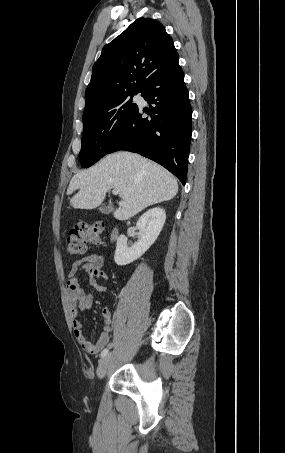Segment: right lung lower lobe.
<instances>
[{
	"label": "right lung lower lobe",
	"instance_id": "98d812e1",
	"mask_svg": "<svg viewBox=\"0 0 285 453\" xmlns=\"http://www.w3.org/2000/svg\"><path fill=\"white\" fill-rule=\"evenodd\" d=\"M141 95L154 104L148 112L150 118H143L144 110L138 109L109 153L123 149L139 153L168 169L185 185L192 110L180 66L153 77Z\"/></svg>",
	"mask_w": 285,
	"mask_h": 453
}]
</instances>
